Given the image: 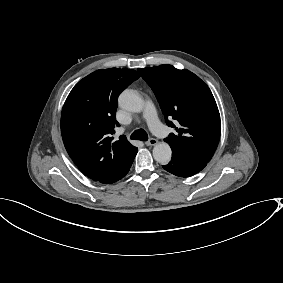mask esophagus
Wrapping results in <instances>:
<instances>
[{"label": "esophagus", "mask_w": 283, "mask_h": 283, "mask_svg": "<svg viewBox=\"0 0 283 283\" xmlns=\"http://www.w3.org/2000/svg\"><path fill=\"white\" fill-rule=\"evenodd\" d=\"M157 143H158L157 139L154 138H150L147 142H145L147 146H153L156 145Z\"/></svg>", "instance_id": "1"}]
</instances>
